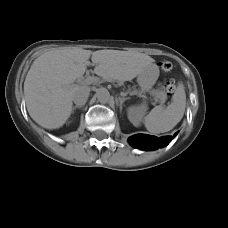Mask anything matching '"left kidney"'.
<instances>
[{"instance_id": "5707ae66", "label": "left kidney", "mask_w": 228, "mask_h": 228, "mask_svg": "<svg viewBox=\"0 0 228 228\" xmlns=\"http://www.w3.org/2000/svg\"><path fill=\"white\" fill-rule=\"evenodd\" d=\"M144 114V106H132L128 109V119L135 127L140 126Z\"/></svg>"}]
</instances>
